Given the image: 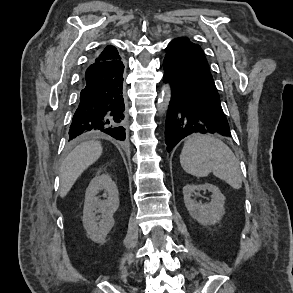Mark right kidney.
I'll return each instance as SVG.
<instances>
[{
	"label": "right kidney",
	"mask_w": 293,
	"mask_h": 293,
	"mask_svg": "<svg viewBox=\"0 0 293 293\" xmlns=\"http://www.w3.org/2000/svg\"><path fill=\"white\" fill-rule=\"evenodd\" d=\"M104 190V200L97 197ZM119 207V192L115 182L108 174L93 178L86 190L83 209V226L89 238L96 243H103L114 226L113 214ZM101 213V216H96Z\"/></svg>",
	"instance_id": "obj_1"
}]
</instances>
